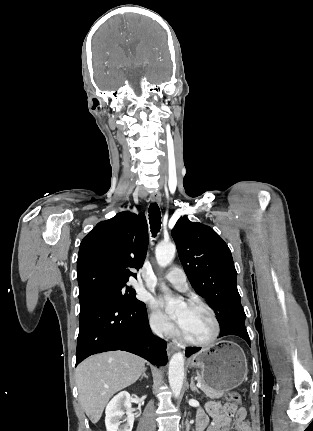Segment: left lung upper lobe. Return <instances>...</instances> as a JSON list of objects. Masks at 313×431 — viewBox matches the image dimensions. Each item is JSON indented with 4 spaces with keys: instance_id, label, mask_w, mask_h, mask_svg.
<instances>
[{
    "instance_id": "5c2ea615",
    "label": "left lung upper lobe",
    "mask_w": 313,
    "mask_h": 431,
    "mask_svg": "<svg viewBox=\"0 0 313 431\" xmlns=\"http://www.w3.org/2000/svg\"><path fill=\"white\" fill-rule=\"evenodd\" d=\"M180 261L195 291L214 309L223 329L245 322L231 251L209 226L181 217L172 229Z\"/></svg>"
}]
</instances>
